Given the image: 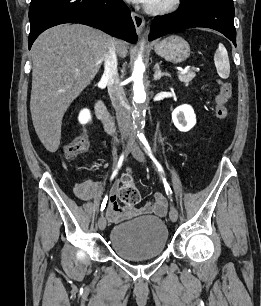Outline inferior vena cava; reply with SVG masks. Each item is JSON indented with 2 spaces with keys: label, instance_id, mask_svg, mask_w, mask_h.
I'll use <instances>...</instances> for the list:
<instances>
[{
  "label": "inferior vena cava",
  "instance_id": "602c4592",
  "mask_svg": "<svg viewBox=\"0 0 261 306\" xmlns=\"http://www.w3.org/2000/svg\"><path fill=\"white\" fill-rule=\"evenodd\" d=\"M103 78L107 81L108 93L116 112L119 130L122 133H126L130 129L131 117L127 98L118 75L117 55L114 43L104 55Z\"/></svg>",
  "mask_w": 261,
  "mask_h": 306
}]
</instances>
